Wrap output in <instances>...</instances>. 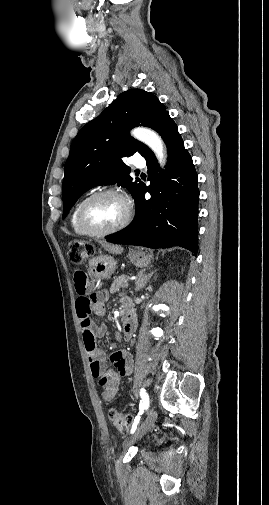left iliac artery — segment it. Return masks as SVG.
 Instances as JSON below:
<instances>
[{
    "label": "left iliac artery",
    "instance_id": "1",
    "mask_svg": "<svg viewBox=\"0 0 269 505\" xmlns=\"http://www.w3.org/2000/svg\"><path fill=\"white\" fill-rule=\"evenodd\" d=\"M140 397H141V401H140V410H139V413H138V415L135 417L134 422H133V424H132V428H131V431H130V433H131V434H133V433L135 432V430H136V428H137V425H138V423H139V421H140V416H141V415L143 414V412H144L145 410H147V409H148V407H149V396H148V394H147V392H146V390H145V389H141V390H140Z\"/></svg>",
    "mask_w": 269,
    "mask_h": 505
}]
</instances>
